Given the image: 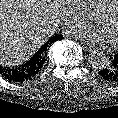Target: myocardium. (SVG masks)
Instances as JSON below:
<instances>
[{
  "instance_id": "f54148a6",
  "label": "myocardium",
  "mask_w": 118,
  "mask_h": 118,
  "mask_svg": "<svg viewBox=\"0 0 118 118\" xmlns=\"http://www.w3.org/2000/svg\"><path fill=\"white\" fill-rule=\"evenodd\" d=\"M118 3V0H111L108 5L97 15L94 16V20L100 22L108 18L114 10L115 5ZM113 47H118V42H111Z\"/></svg>"
}]
</instances>
